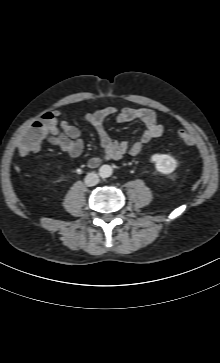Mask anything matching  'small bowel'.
Instances as JSON below:
<instances>
[{
	"label": "small bowel",
	"mask_w": 220,
	"mask_h": 363,
	"mask_svg": "<svg viewBox=\"0 0 220 363\" xmlns=\"http://www.w3.org/2000/svg\"><path fill=\"white\" fill-rule=\"evenodd\" d=\"M52 115L53 118L43 140L58 147L70 157H79L84 148L79 128L66 120H59V113L57 111L53 112ZM110 116H115L118 122H142L145 129L140 139L132 144L112 139L104 127V120ZM84 119L95 129L103 149L100 156L88 160L87 164L89 167H97L103 161L118 160L127 153L133 156L138 155L151 140L160 137L164 131V127L158 121L155 112L147 108L107 106L95 112L85 114ZM26 133L20 140L18 151L21 155L28 153L36 154L41 143L37 145L29 144Z\"/></svg>",
	"instance_id": "small-bowel-1"
}]
</instances>
